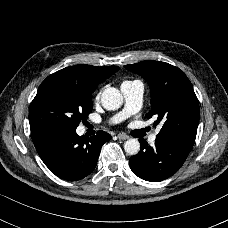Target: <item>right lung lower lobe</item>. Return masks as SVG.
Here are the masks:
<instances>
[{
	"mask_svg": "<svg viewBox=\"0 0 228 228\" xmlns=\"http://www.w3.org/2000/svg\"><path fill=\"white\" fill-rule=\"evenodd\" d=\"M44 164L59 178L76 181L95 168L102 145L111 136L99 131L92 137L78 136L75 129L55 128L31 134Z\"/></svg>",
	"mask_w": 228,
	"mask_h": 228,
	"instance_id": "obj_1",
	"label": "right lung lower lobe"
}]
</instances>
